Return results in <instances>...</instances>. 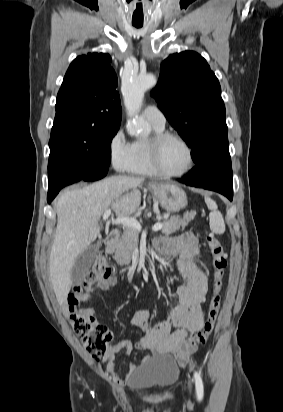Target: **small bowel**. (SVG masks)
Masks as SVG:
<instances>
[{
  "label": "small bowel",
  "mask_w": 283,
  "mask_h": 412,
  "mask_svg": "<svg viewBox=\"0 0 283 412\" xmlns=\"http://www.w3.org/2000/svg\"><path fill=\"white\" fill-rule=\"evenodd\" d=\"M154 244L161 253L175 257V266L183 284L177 289L178 303L169 309L165 320L152 324L149 311L139 309L133 314L130 322L144 332L142 338L134 345L122 340L109 346L104 357L107 361L106 370L113 383L118 385L127 381V378L115 373V360L119 353H129L136 348L148 350L157 357L175 355L179 365L184 366L188 363L192 350L179 355V345L189 332L197 331L203 325L202 305L207 291V276L197 264V237L193 232L187 231L174 238H157ZM115 282L116 276L112 275L99 282L98 286L101 290L107 291ZM89 311L94 314L93 309ZM149 358L143 357V362H147ZM137 368L136 364L130 363L128 376Z\"/></svg>",
  "instance_id": "small-bowel-1"
}]
</instances>
